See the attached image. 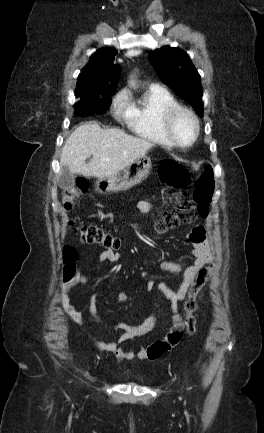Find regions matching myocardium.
I'll return each instance as SVG.
<instances>
[{
    "instance_id": "obj_1",
    "label": "myocardium",
    "mask_w": 264,
    "mask_h": 433,
    "mask_svg": "<svg viewBox=\"0 0 264 433\" xmlns=\"http://www.w3.org/2000/svg\"><path fill=\"white\" fill-rule=\"evenodd\" d=\"M180 114H187L193 121L194 126H195V132L193 135V138L191 139V141L189 143H181L174 135L173 133V123L176 119V117ZM162 127H163V131L165 133V135L167 136L168 140L170 141V143L176 147H181V148H185V147H189L192 146L198 139L199 135H200V121L197 117V115L194 113V111H192L190 108L185 107V106H181V105H176L173 106L169 109H167L163 116H162Z\"/></svg>"
}]
</instances>
